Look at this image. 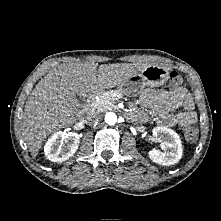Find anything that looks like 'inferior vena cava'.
<instances>
[{
	"instance_id": "1",
	"label": "inferior vena cava",
	"mask_w": 221,
	"mask_h": 221,
	"mask_svg": "<svg viewBox=\"0 0 221 221\" xmlns=\"http://www.w3.org/2000/svg\"><path fill=\"white\" fill-rule=\"evenodd\" d=\"M96 118H97V114L91 113L86 117L84 121L86 122V124L91 125L95 122Z\"/></svg>"
}]
</instances>
